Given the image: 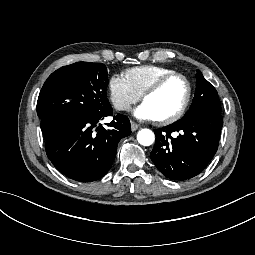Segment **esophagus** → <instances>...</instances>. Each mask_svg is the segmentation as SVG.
<instances>
[{
	"label": "esophagus",
	"mask_w": 255,
	"mask_h": 255,
	"mask_svg": "<svg viewBox=\"0 0 255 255\" xmlns=\"http://www.w3.org/2000/svg\"><path fill=\"white\" fill-rule=\"evenodd\" d=\"M139 129V125L133 121H131V130L136 131Z\"/></svg>",
	"instance_id": "34e87169"
}]
</instances>
